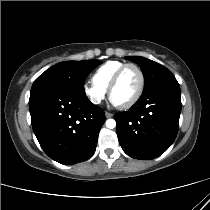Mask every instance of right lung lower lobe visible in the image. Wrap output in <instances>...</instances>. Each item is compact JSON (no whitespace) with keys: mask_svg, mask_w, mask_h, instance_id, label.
Listing matches in <instances>:
<instances>
[{"mask_svg":"<svg viewBox=\"0 0 210 210\" xmlns=\"http://www.w3.org/2000/svg\"><path fill=\"white\" fill-rule=\"evenodd\" d=\"M29 108L33 131L50 158L72 165L94 154L105 114L85 94L39 89L30 93Z\"/></svg>","mask_w":210,"mask_h":210,"instance_id":"right-lung-lower-lobe-1","label":"right lung lower lobe"}]
</instances>
